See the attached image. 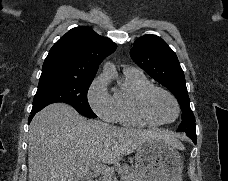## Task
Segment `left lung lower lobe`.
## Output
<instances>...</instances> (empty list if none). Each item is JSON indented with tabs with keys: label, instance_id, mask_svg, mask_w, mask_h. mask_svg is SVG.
<instances>
[{
	"label": "left lung lower lobe",
	"instance_id": "1",
	"mask_svg": "<svg viewBox=\"0 0 228 181\" xmlns=\"http://www.w3.org/2000/svg\"><path fill=\"white\" fill-rule=\"evenodd\" d=\"M186 132L187 136L192 139V141L194 142V144H196V140H197V136H196V131H191V130H186L184 131Z\"/></svg>",
	"mask_w": 228,
	"mask_h": 181
}]
</instances>
